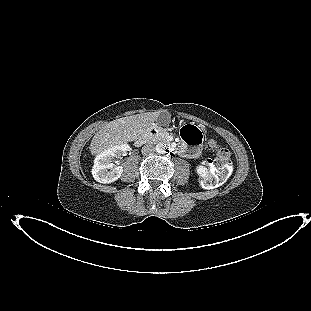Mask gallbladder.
Masks as SVG:
<instances>
[{"instance_id":"gallbladder-1","label":"gallbladder","mask_w":311,"mask_h":311,"mask_svg":"<svg viewBox=\"0 0 311 311\" xmlns=\"http://www.w3.org/2000/svg\"><path fill=\"white\" fill-rule=\"evenodd\" d=\"M170 118H171V115L169 112L167 111H163L159 114L158 118H157V123L160 124V125H166L170 122Z\"/></svg>"}]
</instances>
